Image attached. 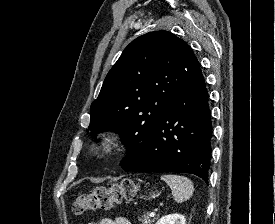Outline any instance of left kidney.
I'll list each match as a JSON object with an SVG mask.
<instances>
[{"label":"left kidney","instance_id":"left-kidney-1","mask_svg":"<svg viewBox=\"0 0 275 224\" xmlns=\"http://www.w3.org/2000/svg\"><path fill=\"white\" fill-rule=\"evenodd\" d=\"M156 224H186L185 217L181 214H170L159 219Z\"/></svg>","mask_w":275,"mask_h":224}]
</instances>
